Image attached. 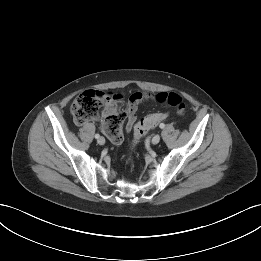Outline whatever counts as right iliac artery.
Wrapping results in <instances>:
<instances>
[{"label":"right iliac artery","mask_w":261,"mask_h":261,"mask_svg":"<svg viewBox=\"0 0 261 261\" xmlns=\"http://www.w3.org/2000/svg\"><path fill=\"white\" fill-rule=\"evenodd\" d=\"M100 137L99 134H95V138L98 139Z\"/></svg>","instance_id":"obj_1"}]
</instances>
